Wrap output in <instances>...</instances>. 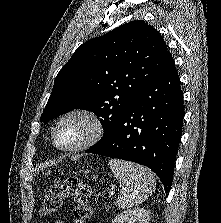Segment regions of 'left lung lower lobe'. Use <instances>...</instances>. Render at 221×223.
I'll return each instance as SVG.
<instances>
[{"mask_svg": "<svg viewBox=\"0 0 221 223\" xmlns=\"http://www.w3.org/2000/svg\"><path fill=\"white\" fill-rule=\"evenodd\" d=\"M183 117L180 79L169 52L159 73L127 108L114 131L86 152L149 167L168 194Z\"/></svg>", "mask_w": 221, "mask_h": 223, "instance_id": "left-lung-lower-lobe-1", "label": "left lung lower lobe"}]
</instances>
